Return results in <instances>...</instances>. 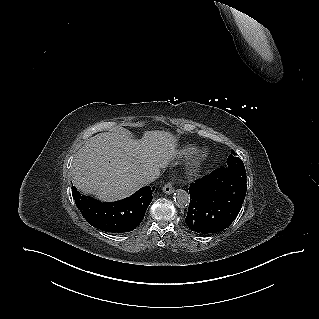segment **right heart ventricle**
<instances>
[{
    "label": "right heart ventricle",
    "mask_w": 319,
    "mask_h": 319,
    "mask_svg": "<svg viewBox=\"0 0 319 319\" xmlns=\"http://www.w3.org/2000/svg\"><path fill=\"white\" fill-rule=\"evenodd\" d=\"M197 151V148L194 146H186L180 151V155L183 157H190Z\"/></svg>",
    "instance_id": "obj_1"
}]
</instances>
